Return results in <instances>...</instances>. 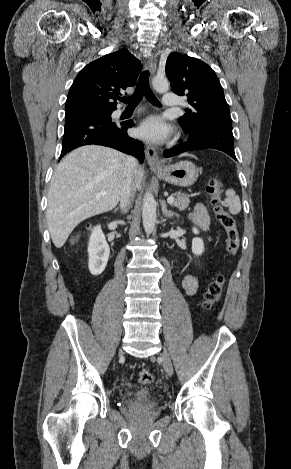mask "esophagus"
I'll use <instances>...</instances> for the list:
<instances>
[{"label":"esophagus","instance_id":"34e87169","mask_svg":"<svg viewBox=\"0 0 291 469\" xmlns=\"http://www.w3.org/2000/svg\"><path fill=\"white\" fill-rule=\"evenodd\" d=\"M146 68L150 71L152 75L156 72L157 61L154 55H151L147 58ZM145 158L151 168H161L163 166L161 160L158 157L155 147L151 145H146L145 147Z\"/></svg>","mask_w":291,"mask_h":469}]
</instances>
